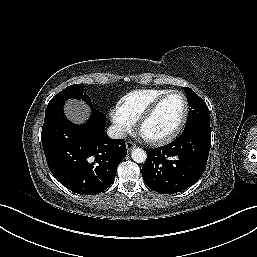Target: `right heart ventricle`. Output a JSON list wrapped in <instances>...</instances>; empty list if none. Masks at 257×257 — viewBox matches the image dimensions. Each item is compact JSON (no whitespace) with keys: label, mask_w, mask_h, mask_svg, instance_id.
<instances>
[{"label":"right heart ventricle","mask_w":257,"mask_h":257,"mask_svg":"<svg viewBox=\"0 0 257 257\" xmlns=\"http://www.w3.org/2000/svg\"><path fill=\"white\" fill-rule=\"evenodd\" d=\"M168 91L170 90L162 88L135 90L123 96L118 104L135 122L152 102Z\"/></svg>","instance_id":"1"}]
</instances>
